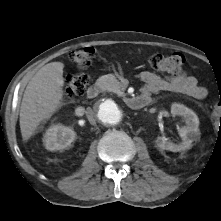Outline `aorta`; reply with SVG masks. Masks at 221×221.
<instances>
[{"mask_svg": "<svg viewBox=\"0 0 221 221\" xmlns=\"http://www.w3.org/2000/svg\"><path fill=\"white\" fill-rule=\"evenodd\" d=\"M95 115L97 120L105 126L118 124L123 118V108L113 99H104L97 105Z\"/></svg>", "mask_w": 221, "mask_h": 221, "instance_id": "obj_1", "label": "aorta"}]
</instances>
